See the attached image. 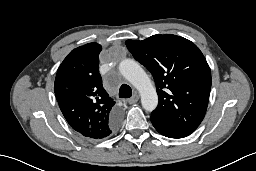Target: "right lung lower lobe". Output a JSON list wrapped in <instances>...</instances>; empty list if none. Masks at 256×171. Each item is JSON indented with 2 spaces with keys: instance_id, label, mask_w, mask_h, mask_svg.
Segmentation results:
<instances>
[{
  "instance_id": "right-lung-lower-lobe-1",
  "label": "right lung lower lobe",
  "mask_w": 256,
  "mask_h": 171,
  "mask_svg": "<svg viewBox=\"0 0 256 171\" xmlns=\"http://www.w3.org/2000/svg\"><path fill=\"white\" fill-rule=\"evenodd\" d=\"M120 122V114L119 112H115L111 118H110V121H109V129L111 131H114L117 127H118V124Z\"/></svg>"
}]
</instances>
